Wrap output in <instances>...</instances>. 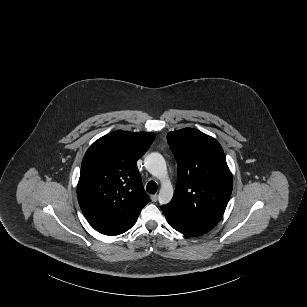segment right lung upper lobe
Returning <instances> with one entry per match:
<instances>
[{"label":"right lung upper lobe","mask_w":307,"mask_h":307,"mask_svg":"<svg viewBox=\"0 0 307 307\" xmlns=\"http://www.w3.org/2000/svg\"><path fill=\"white\" fill-rule=\"evenodd\" d=\"M155 134L117 130L95 141L81 165L77 186L80 208L98 232L116 235L139 216L149 202L137 160Z\"/></svg>","instance_id":"cb5924a9"}]
</instances>
